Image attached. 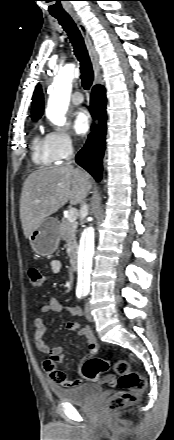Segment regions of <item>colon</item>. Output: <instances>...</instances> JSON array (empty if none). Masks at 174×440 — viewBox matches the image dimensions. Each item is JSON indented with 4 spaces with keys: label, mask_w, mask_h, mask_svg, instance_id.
I'll use <instances>...</instances> for the list:
<instances>
[{
    "label": "colon",
    "mask_w": 174,
    "mask_h": 440,
    "mask_svg": "<svg viewBox=\"0 0 174 440\" xmlns=\"http://www.w3.org/2000/svg\"><path fill=\"white\" fill-rule=\"evenodd\" d=\"M28 276L33 287H41L45 276L38 267H30ZM45 363V362H44ZM110 367L118 375V385L120 390L108 400L110 410H119L136 404L146 388L144 378L134 369L130 363L123 359L114 361L100 358H91L85 361L82 366V374L87 381H96L100 374L107 371ZM105 382L113 385L112 377L106 378Z\"/></svg>",
    "instance_id": "5ec220e1"
}]
</instances>
